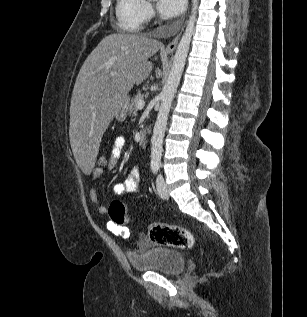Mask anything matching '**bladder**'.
<instances>
[{
	"mask_svg": "<svg viewBox=\"0 0 307 317\" xmlns=\"http://www.w3.org/2000/svg\"><path fill=\"white\" fill-rule=\"evenodd\" d=\"M128 260L137 272H159L168 275L178 274L186 263L181 252L164 247L149 249L140 256L129 255Z\"/></svg>",
	"mask_w": 307,
	"mask_h": 317,
	"instance_id": "obj_1",
	"label": "bladder"
}]
</instances>
